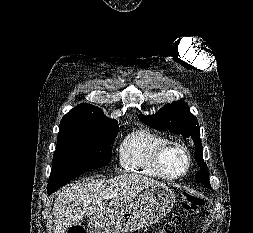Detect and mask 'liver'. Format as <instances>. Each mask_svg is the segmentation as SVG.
Here are the masks:
<instances>
[{"instance_id": "1", "label": "liver", "mask_w": 253, "mask_h": 233, "mask_svg": "<svg viewBox=\"0 0 253 233\" xmlns=\"http://www.w3.org/2000/svg\"><path fill=\"white\" fill-rule=\"evenodd\" d=\"M161 185L157 180L141 174H123L109 180L93 177L66 187L53 205V233H65L85 215L101 214L106 211L105 197L109 206L120 205L150 186Z\"/></svg>"}]
</instances>
